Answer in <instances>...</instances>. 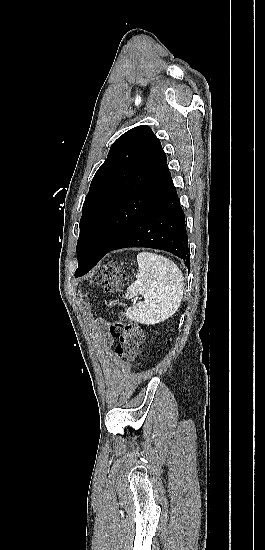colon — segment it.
Returning <instances> with one entry per match:
<instances>
[{
  "instance_id": "5ec220e1",
  "label": "colon",
  "mask_w": 265,
  "mask_h": 550,
  "mask_svg": "<svg viewBox=\"0 0 265 550\" xmlns=\"http://www.w3.org/2000/svg\"><path fill=\"white\" fill-rule=\"evenodd\" d=\"M97 281L104 285L106 294L113 295L127 284L128 277L115 262H108L103 266ZM110 333L118 339L115 348L118 360L133 361L141 352L145 341L144 332L136 322L127 320L124 314L110 322Z\"/></svg>"
}]
</instances>
